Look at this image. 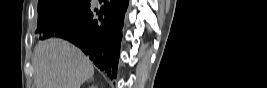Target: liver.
<instances>
[{
	"instance_id": "1",
	"label": "liver",
	"mask_w": 267,
	"mask_h": 88,
	"mask_svg": "<svg viewBox=\"0 0 267 88\" xmlns=\"http://www.w3.org/2000/svg\"><path fill=\"white\" fill-rule=\"evenodd\" d=\"M36 88H80L94 68L83 52L68 41L39 42L32 59Z\"/></svg>"
}]
</instances>
